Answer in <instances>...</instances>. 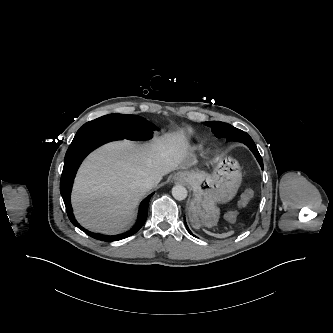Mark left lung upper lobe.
<instances>
[{
  "label": "left lung upper lobe",
  "mask_w": 333,
  "mask_h": 333,
  "mask_svg": "<svg viewBox=\"0 0 333 333\" xmlns=\"http://www.w3.org/2000/svg\"><path fill=\"white\" fill-rule=\"evenodd\" d=\"M205 124L212 128V132L218 138L225 137L227 140H233L242 143H245V139L247 138L246 136L251 138L247 133L224 122L208 121L205 122Z\"/></svg>",
  "instance_id": "left-lung-upper-lobe-1"
}]
</instances>
